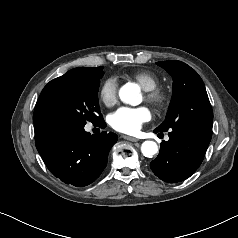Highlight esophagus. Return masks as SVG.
I'll use <instances>...</instances> for the list:
<instances>
[{
    "label": "esophagus",
    "instance_id": "esophagus-1",
    "mask_svg": "<svg viewBox=\"0 0 238 238\" xmlns=\"http://www.w3.org/2000/svg\"><path fill=\"white\" fill-rule=\"evenodd\" d=\"M124 139L132 141V142H137L139 141V139L134 138V137H130V136H123Z\"/></svg>",
    "mask_w": 238,
    "mask_h": 238
}]
</instances>
